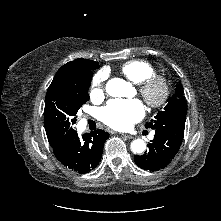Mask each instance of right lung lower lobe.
Returning a JSON list of instances; mask_svg holds the SVG:
<instances>
[{
    "instance_id": "98d812e1",
    "label": "right lung lower lobe",
    "mask_w": 221,
    "mask_h": 221,
    "mask_svg": "<svg viewBox=\"0 0 221 221\" xmlns=\"http://www.w3.org/2000/svg\"><path fill=\"white\" fill-rule=\"evenodd\" d=\"M109 133L96 130L80 138L74 131L68 138L51 145L56 158L67 168L80 174L88 173L101 161Z\"/></svg>"
}]
</instances>
